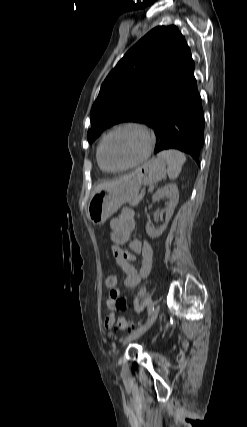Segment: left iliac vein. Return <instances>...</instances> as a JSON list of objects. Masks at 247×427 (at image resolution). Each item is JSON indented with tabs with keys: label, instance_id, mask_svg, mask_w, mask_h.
<instances>
[{
	"label": "left iliac vein",
	"instance_id": "obj_1",
	"mask_svg": "<svg viewBox=\"0 0 247 427\" xmlns=\"http://www.w3.org/2000/svg\"><path fill=\"white\" fill-rule=\"evenodd\" d=\"M159 312H160V306L158 305L155 307V309L153 310L152 314L150 315V317L148 318L146 323L142 327L137 329L136 331L129 334L124 339L123 344L126 345L130 341L135 340V339L139 338L140 336H142L153 325V323L155 322V320L157 319V317L159 315ZM120 362H121V359H120Z\"/></svg>",
	"mask_w": 247,
	"mask_h": 427
}]
</instances>
